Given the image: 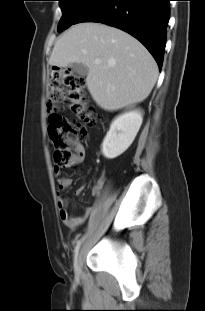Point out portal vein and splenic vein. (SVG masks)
I'll return each mask as SVG.
<instances>
[{
  "label": "portal vein and splenic vein",
  "instance_id": "18ae733b",
  "mask_svg": "<svg viewBox=\"0 0 205 311\" xmlns=\"http://www.w3.org/2000/svg\"><path fill=\"white\" fill-rule=\"evenodd\" d=\"M96 64H99L101 61L99 59H95L94 61Z\"/></svg>",
  "mask_w": 205,
  "mask_h": 311
}]
</instances>
